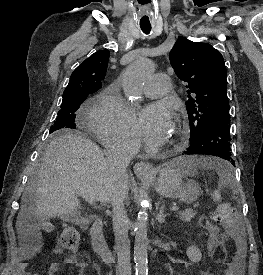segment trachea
Masks as SVG:
<instances>
[{
    "label": "trachea",
    "instance_id": "3493384b",
    "mask_svg": "<svg viewBox=\"0 0 263 275\" xmlns=\"http://www.w3.org/2000/svg\"><path fill=\"white\" fill-rule=\"evenodd\" d=\"M141 29L145 34H149L151 31V27H141Z\"/></svg>",
    "mask_w": 263,
    "mask_h": 275
}]
</instances>
